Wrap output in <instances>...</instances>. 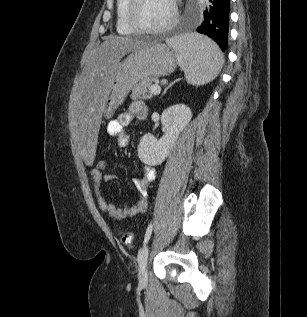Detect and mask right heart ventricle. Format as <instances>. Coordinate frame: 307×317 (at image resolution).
<instances>
[{
    "instance_id": "e07e8e85",
    "label": "right heart ventricle",
    "mask_w": 307,
    "mask_h": 317,
    "mask_svg": "<svg viewBox=\"0 0 307 317\" xmlns=\"http://www.w3.org/2000/svg\"><path fill=\"white\" fill-rule=\"evenodd\" d=\"M129 3V0H116V31L120 35H133L136 32L131 29L128 25L127 18H126V8Z\"/></svg>"
}]
</instances>
